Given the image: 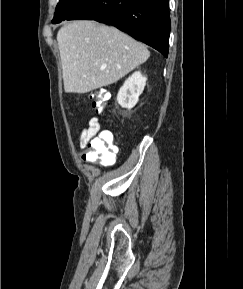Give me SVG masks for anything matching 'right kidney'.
<instances>
[{
	"mask_svg": "<svg viewBox=\"0 0 243 289\" xmlns=\"http://www.w3.org/2000/svg\"><path fill=\"white\" fill-rule=\"evenodd\" d=\"M147 78L140 71L134 72L123 84L117 94V101L123 108H133L142 94Z\"/></svg>",
	"mask_w": 243,
	"mask_h": 289,
	"instance_id": "obj_1",
	"label": "right kidney"
}]
</instances>
